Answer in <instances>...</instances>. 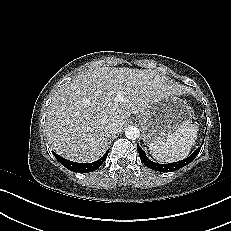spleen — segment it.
<instances>
[{
  "mask_svg": "<svg viewBox=\"0 0 231 231\" xmlns=\"http://www.w3.org/2000/svg\"><path fill=\"white\" fill-rule=\"evenodd\" d=\"M197 132V125H184L166 139L149 144L150 154L163 163L185 159L196 142Z\"/></svg>",
  "mask_w": 231,
  "mask_h": 231,
  "instance_id": "1",
  "label": "spleen"
}]
</instances>
